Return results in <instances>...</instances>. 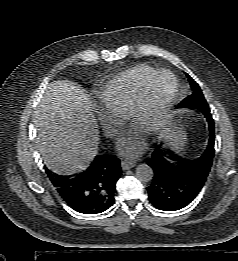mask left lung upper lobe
<instances>
[{
  "label": "left lung upper lobe",
  "mask_w": 238,
  "mask_h": 261,
  "mask_svg": "<svg viewBox=\"0 0 238 261\" xmlns=\"http://www.w3.org/2000/svg\"><path fill=\"white\" fill-rule=\"evenodd\" d=\"M187 77L192 88V94L182 100L178 107L196 109L209 108L198 84L190 76L187 75Z\"/></svg>",
  "instance_id": "5c2ea615"
}]
</instances>
